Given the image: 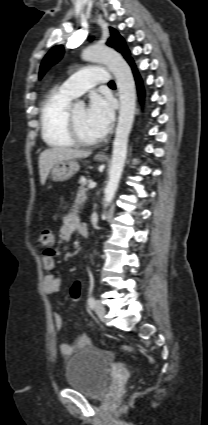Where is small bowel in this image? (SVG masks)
I'll return each instance as SVG.
<instances>
[{
    "mask_svg": "<svg viewBox=\"0 0 208 425\" xmlns=\"http://www.w3.org/2000/svg\"><path fill=\"white\" fill-rule=\"evenodd\" d=\"M83 224L80 222L79 218L74 214L65 215L62 219L61 227L59 230V237L63 241H69L72 238V235L75 231H79ZM55 252H45L42 257L43 267L47 273L44 276V291L47 294H55L60 291L62 280L61 278L55 276L51 273L55 268V260H54ZM54 322L57 331L59 332L62 328V317L60 314L55 313ZM90 344V339L86 334H82L79 338L72 344L63 343L60 346L61 353L63 355H70L74 352V350L78 348H82L88 346Z\"/></svg>",
    "mask_w": 208,
    "mask_h": 425,
    "instance_id": "c3829d8e",
    "label": "small bowel"
}]
</instances>
